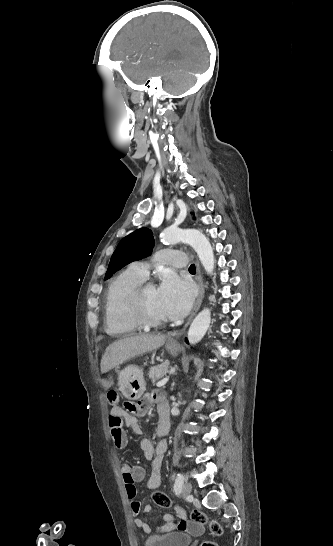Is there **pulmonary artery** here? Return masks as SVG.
I'll list each match as a JSON object with an SVG mask.
<instances>
[{
	"mask_svg": "<svg viewBox=\"0 0 333 546\" xmlns=\"http://www.w3.org/2000/svg\"><path fill=\"white\" fill-rule=\"evenodd\" d=\"M156 259L176 268H183L186 266V256L181 251L167 249L160 250L156 254ZM133 267L143 277H148L150 267L149 263L144 261H137L133 264Z\"/></svg>",
	"mask_w": 333,
	"mask_h": 546,
	"instance_id": "e3ab8cb5",
	"label": "pulmonary artery"
}]
</instances>
